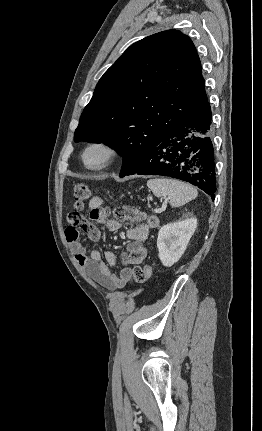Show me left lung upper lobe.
Instances as JSON below:
<instances>
[{"label": "left lung upper lobe", "instance_id": "left-lung-upper-lobe-1", "mask_svg": "<svg viewBox=\"0 0 262 431\" xmlns=\"http://www.w3.org/2000/svg\"><path fill=\"white\" fill-rule=\"evenodd\" d=\"M207 102L201 63L177 30L131 45L103 74L74 141L105 143L123 156L120 177Z\"/></svg>", "mask_w": 262, "mask_h": 431}]
</instances>
